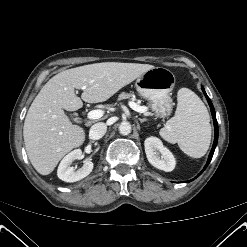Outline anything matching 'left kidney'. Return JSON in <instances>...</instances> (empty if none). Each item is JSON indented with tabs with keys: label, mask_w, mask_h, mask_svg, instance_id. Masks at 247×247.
Returning <instances> with one entry per match:
<instances>
[{
	"label": "left kidney",
	"mask_w": 247,
	"mask_h": 247,
	"mask_svg": "<svg viewBox=\"0 0 247 247\" xmlns=\"http://www.w3.org/2000/svg\"><path fill=\"white\" fill-rule=\"evenodd\" d=\"M144 146L147 159L151 165L166 172H170L175 168L176 160L173 154L163 146L159 138H146Z\"/></svg>",
	"instance_id": "1"
}]
</instances>
